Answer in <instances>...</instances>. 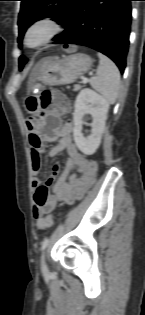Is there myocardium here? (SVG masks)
I'll list each match as a JSON object with an SVG mask.
<instances>
[{"label": "myocardium", "instance_id": "myocardium-1", "mask_svg": "<svg viewBox=\"0 0 145 315\" xmlns=\"http://www.w3.org/2000/svg\"><path fill=\"white\" fill-rule=\"evenodd\" d=\"M36 31H41V37L37 42L31 43L30 37ZM60 31L61 27L55 19L51 17L37 18L27 27L24 34V44L30 49L40 48L52 41Z\"/></svg>", "mask_w": 145, "mask_h": 315}]
</instances>
